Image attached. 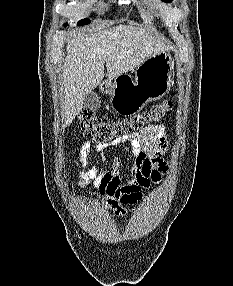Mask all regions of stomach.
Masks as SVG:
<instances>
[{
    "label": "stomach",
    "mask_w": 233,
    "mask_h": 286,
    "mask_svg": "<svg viewBox=\"0 0 233 286\" xmlns=\"http://www.w3.org/2000/svg\"><path fill=\"white\" fill-rule=\"evenodd\" d=\"M173 60L169 51L152 55L135 71V80L125 81L120 76L113 84L106 83L113 109L131 116L150 102L161 99L171 86Z\"/></svg>",
    "instance_id": "1"
}]
</instances>
